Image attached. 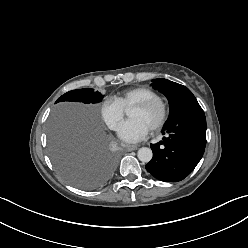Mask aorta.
Returning a JSON list of instances; mask_svg holds the SVG:
<instances>
[{
    "mask_svg": "<svg viewBox=\"0 0 248 248\" xmlns=\"http://www.w3.org/2000/svg\"><path fill=\"white\" fill-rule=\"evenodd\" d=\"M153 156L152 150L148 147H142L138 150L137 157L141 162L148 163Z\"/></svg>",
    "mask_w": 248,
    "mask_h": 248,
    "instance_id": "aorta-1",
    "label": "aorta"
}]
</instances>
